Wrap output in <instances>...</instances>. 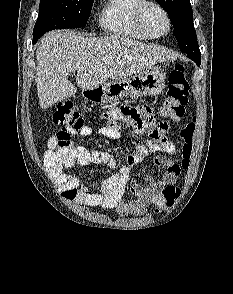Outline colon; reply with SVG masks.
Here are the masks:
<instances>
[{
    "label": "colon",
    "instance_id": "colon-1",
    "mask_svg": "<svg viewBox=\"0 0 233 294\" xmlns=\"http://www.w3.org/2000/svg\"><path fill=\"white\" fill-rule=\"evenodd\" d=\"M188 94L189 83L186 78L185 67L182 64H177L169 74L166 94L159 110L160 115L173 120L180 119L185 113ZM53 122L63 126V129L56 134L58 147L60 148L71 144L70 134L66 129L79 130L84 126L82 116L70 102H62L57 106L53 114ZM195 126V119H192L185 123L180 131V140L182 143L181 165L183 169L189 167ZM179 196L180 190L175 186L164 188L153 199L155 211L162 212L168 209L177 201Z\"/></svg>",
    "mask_w": 233,
    "mask_h": 294
}]
</instances>
